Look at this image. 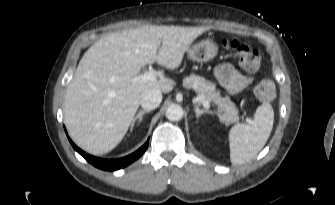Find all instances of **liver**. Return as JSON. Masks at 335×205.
I'll use <instances>...</instances> for the list:
<instances>
[{"mask_svg":"<svg viewBox=\"0 0 335 205\" xmlns=\"http://www.w3.org/2000/svg\"><path fill=\"white\" fill-rule=\"evenodd\" d=\"M208 29L147 25L95 42L81 58L65 94V123L72 140L93 155L114 149L128 131L142 93L173 89L166 78L135 81L141 68L156 61L177 69L192 42Z\"/></svg>","mask_w":335,"mask_h":205,"instance_id":"liver-1","label":"liver"}]
</instances>
